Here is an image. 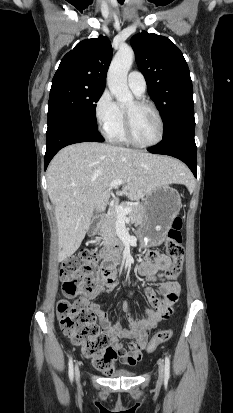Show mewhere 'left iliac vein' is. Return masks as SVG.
<instances>
[{"instance_id": "4c4485c4", "label": "left iliac vein", "mask_w": 233, "mask_h": 413, "mask_svg": "<svg viewBox=\"0 0 233 413\" xmlns=\"http://www.w3.org/2000/svg\"><path fill=\"white\" fill-rule=\"evenodd\" d=\"M164 365L162 362L159 364V381L162 382L164 380Z\"/></svg>"}]
</instances>
